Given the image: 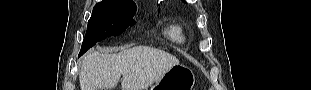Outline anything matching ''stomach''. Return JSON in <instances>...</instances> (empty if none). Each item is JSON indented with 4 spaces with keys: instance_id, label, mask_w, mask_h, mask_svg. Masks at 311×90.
Returning <instances> with one entry per match:
<instances>
[{
    "instance_id": "stomach-1",
    "label": "stomach",
    "mask_w": 311,
    "mask_h": 90,
    "mask_svg": "<svg viewBox=\"0 0 311 90\" xmlns=\"http://www.w3.org/2000/svg\"><path fill=\"white\" fill-rule=\"evenodd\" d=\"M195 75L190 68L184 65L171 67L150 90H193Z\"/></svg>"
}]
</instances>
